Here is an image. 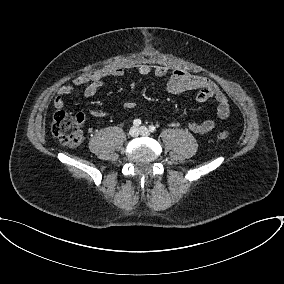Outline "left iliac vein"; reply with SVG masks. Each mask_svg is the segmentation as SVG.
<instances>
[{
    "label": "left iliac vein",
    "instance_id": "1",
    "mask_svg": "<svg viewBox=\"0 0 284 284\" xmlns=\"http://www.w3.org/2000/svg\"><path fill=\"white\" fill-rule=\"evenodd\" d=\"M139 132H140V134L143 135V136H149V135H150L149 130H148L145 126H141V127L139 128Z\"/></svg>",
    "mask_w": 284,
    "mask_h": 284
}]
</instances>
